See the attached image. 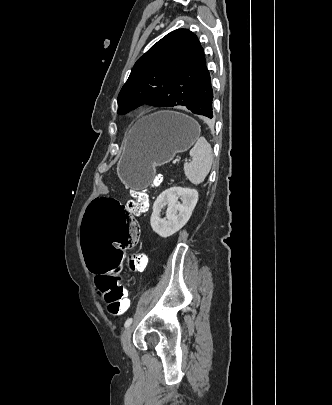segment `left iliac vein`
<instances>
[{
	"instance_id": "4c4485c4",
	"label": "left iliac vein",
	"mask_w": 332,
	"mask_h": 405,
	"mask_svg": "<svg viewBox=\"0 0 332 405\" xmlns=\"http://www.w3.org/2000/svg\"><path fill=\"white\" fill-rule=\"evenodd\" d=\"M131 334H132V327L129 326L125 329L122 335V346L126 354L131 353Z\"/></svg>"
}]
</instances>
